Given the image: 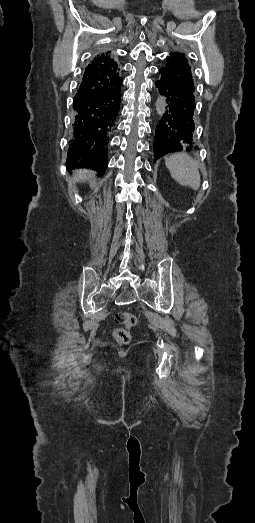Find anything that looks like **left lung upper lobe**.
Listing matches in <instances>:
<instances>
[{
  "instance_id": "5c2ea615",
  "label": "left lung upper lobe",
  "mask_w": 255,
  "mask_h": 523,
  "mask_svg": "<svg viewBox=\"0 0 255 523\" xmlns=\"http://www.w3.org/2000/svg\"><path fill=\"white\" fill-rule=\"evenodd\" d=\"M159 72L162 76L170 77L172 86L178 85L179 87L187 88L192 94L193 102H195L193 95L195 88L191 68L184 54L178 52L171 53L170 56L167 57L166 66L161 68ZM165 113L163 116H165ZM155 137H158V135L155 134ZM195 148H197L196 145Z\"/></svg>"
}]
</instances>
